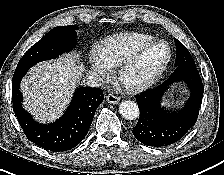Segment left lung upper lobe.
I'll return each mask as SVG.
<instances>
[{"label": "left lung upper lobe", "instance_id": "left-lung-upper-lobe-1", "mask_svg": "<svg viewBox=\"0 0 224 175\" xmlns=\"http://www.w3.org/2000/svg\"><path fill=\"white\" fill-rule=\"evenodd\" d=\"M176 44V66L183 65V64H194L195 62L187 50V48L177 39H175Z\"/></svg>", "mask_w": 224, "mask_h": 175}]
</instances>
